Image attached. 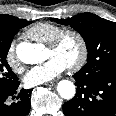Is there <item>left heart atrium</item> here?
<instances>
[{
    "label": "left heart atrium",
    "mask_w": 116,
    "mask_h": 116,
    "mask_svg": "<svg viewBox=\"0 0 116 116\" xmlns=\"http://www.w3.org/2000/svg\"><path fill=\"white\" fill-rule=\"evenodd\" d=\"M68 65L59 57L53 56L45 63L32 67L24 76V82L35 86L49 82L66 70Z\"/></svg>",
    "instance_id": "left-heart-atrium-1"
}]
</instances>
